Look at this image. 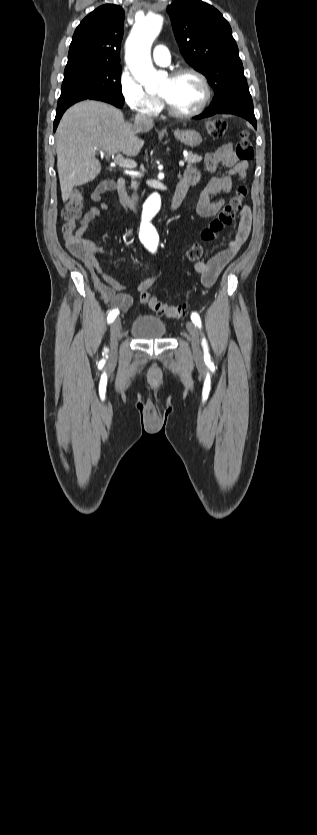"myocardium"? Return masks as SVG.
Returning a JSON list of instances; mask_svg holds the SVG:
<instances>
[{
    "mask_svg": "<svg viewBox=\"0 0 317 835\" xmlns=\"http://www.w3.org/2000/svg\"><path fill=\"white\" fill-rule=\"evenodd\" d=\"M182 75H193L194 77H196L199 80V82L202 86L203 96H202L199 104L197 105V107L195 109L189 111V112H180V111L175 110L170 105V103L167 101V99L165 97H163L162 95H160V97H161V99H162V101H163V103H164V105L167 109V112L171 116H173L175 118H180V119H187V118L195 117V116H197V115H199L200 113L203 112V110L206 108V106L208 105V103L211 99V87H210V84H209V81H208L207 77L202 72H200L199 70H197L195 68H192V67H181V68L175 69L171 72L169 77L174 79V78L180 77Z\"/></svg>",
    "mask_w": 317,
    "mask_h": 835,
    "instance_id": "myocardium-1",
    "label": "myocardium"
}]
</instances>
